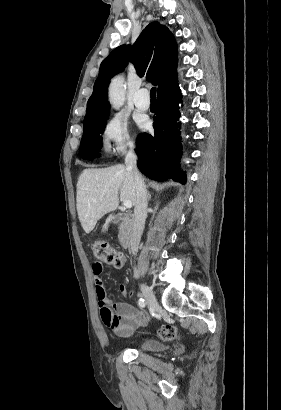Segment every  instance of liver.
Segmentation results:
<instances>
[{
  "instance_id": "6515ba94",
  "label": "liver",
  "mask_w": 281,
  "mask_h": 410,
  "mask_svg": "<svg viewBox=\"0 0 281 410\" xmlns=\"http://www.w3.org/2000/svg\"><path fill=\"white\" fill-rule=\"evenodd\" d=\"M129 200L135 205L136 187L134 176L124 165L107 168H88L80 174L77 182V212L82 228L90 233L97 221L114 211L119 201ZM114 216L111 214L102 227L108 230Z\"/></svg>"
}]
</instances>
